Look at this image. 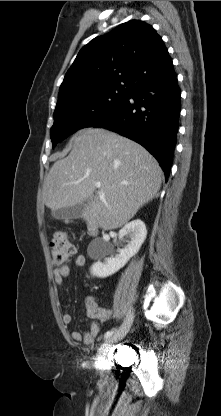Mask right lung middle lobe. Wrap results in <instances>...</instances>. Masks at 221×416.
I'll return each instance as SVG.
<instances>
[{
  "instance_id": "dd1d6c3e",
  "label": "right lung middle lobe",
  "mask_w": 221,
  "mask_h": 416,
  "mask_svg": "<svg viewBox=\"0 0 221 416\" xmlns=\"http://www.w3.org/2000/svg\"><path fill=\"white\" fill-rule=\"evenodd\" d=\"M128 94V89L116 88L56 106L54 124L51 128L53 148L77 130L93 127L97 122L111 118Z\"/></svg>"
}]
</instances>
